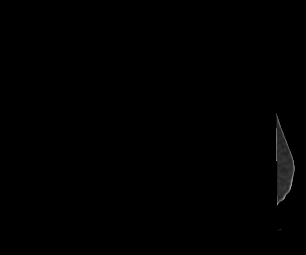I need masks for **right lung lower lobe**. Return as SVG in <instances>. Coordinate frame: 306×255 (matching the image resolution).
<instances>
[{
  "label": "right lung lower lobe",
  "instance_id": "98d812e1",
  "mask_svg": "<svg viewBox=\"0 0 306 255\" xmlns=\"http://www.w3.org/2000/svg\"><path fill=\"white\" fill-rule=\"evenodd\" d=\"M125 176L119 172H113L99 187L96 193L88 196L90 202L111 204L123 197L126 192Z\"/></svg>",
  "mask_w": 306,
  "mask_h": 255
}]
</instances>
